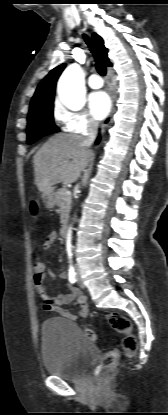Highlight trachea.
<instances>
[{
    "label": "trachea",
    "instance_id": "obj_1",
    "mask_svg": "<svg viewBox=\"0 0 168 415\" xmlns=\"http://www.w3.org/2000/svg\"><path fill=\"white\" fill-rule=\"evenodd\" d=\"M86 44L89 46L91 53L93 54L96 62V69L101 76L106 75V66L103 59L100 57L98 52L96 51L91 39L87 35H83Z\"/></svg>",
    "mask_w": 168,
    "mask_h": 415
}]
</instances>
